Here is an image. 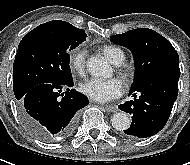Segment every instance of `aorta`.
<instances>
[{"label":"aorta","instance_id":"1","mask_svg":"<svg viewBox=\"0 0 190 165\" xmlns=\"http://www.w3.org/2000/svg\"><path fill=\"white\" fill-rule=\"evenodd\" d=\"M88 72L97 77H108L111 73L110 65L102 57L92 56L87 60ZM112 126L118 131L127 130L131 121L125 112H118L111 118Z\"/></svg>","mask_w":190,"mask_h":165}]
</instances>
